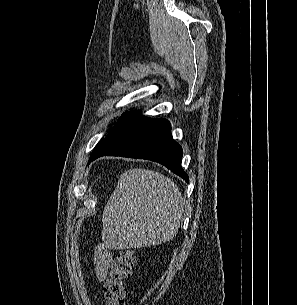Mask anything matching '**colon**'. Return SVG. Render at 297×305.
I'll return each mask as SVG.
<instances>
[{
	"instance_id": "1",
	"label": "colon",
	"mask_w": 297,
	"mask_h": 305,
	"mask_svg": "<svg viewBox=\"0 0 297 305\" xmlns=\"http://www.w3.org/2000/svg\"><path fill=\"white\" fill-rule=\"evenodd\" d=\"M136 265V255L130 249L117 253L112 261L110 274L103 284L105 305H122L127 295L126 280Z\"/></svg>"
}]
</instances>
